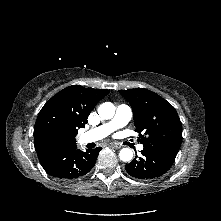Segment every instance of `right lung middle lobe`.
<instances>
[{"instance_id": "obj_1", "label": "right lung middle lobe", "mask_w": 221, "mask_h": 221, "mask_svg": "<svg viewBox=\"0 0 221 221\" xmlns=\"http://www.w3.org/2000/svg\"><path fill=\"white\" fill-rule=\"evenodd\" d=\"M77 132L69 131L58 126H46L38 134L40 147L54 148L75 143Z\"/></svg>"}]
</instances>
